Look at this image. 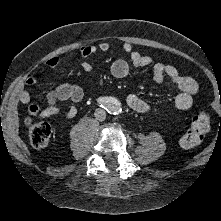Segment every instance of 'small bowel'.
Segmentation results:
<instances>
[{"label": "small bowel", "instance_id": "c3829d8e", "mask_svg": "<svg viewBox=\"0 0 221 221\" xmlns=\"http://www.w3.org/2000/svg\"><path fill=\"white\" fill-rule=\"evenodd\" d=\"M109 48L110 46L107 42H100L97 45H83L79 50V55L83 59L80 63L82 70L85 73L92 72L93 67L87 59L98 51L107 52ZM122 48L128 55L130 63L125 60L115 61L111 66V73L114 77H126L130 72L131 65L135 68L151 65L152 59L135 50L129 42H123ZM61 62V59L58 57L48 59L45 66L37 74L27 79V83L36 84L47 70L59 66ZM153 78L158 84H163L167 79L175 86L178 91L174 100L175 109L186 110L192 106L194 96L198 92V84L193 78L182 75L174 66L165 63H156L154 65ZM82 98V88L70 83H61L49 90L46 94L47 106L43 109L37 104L32 103L31 96L26 90H23L19 96L20 101L28 106L29 113L33 116H39L40 118H50L58 115L61 112L58 103L70 101L71 104L65 111V117L67 119H73L77 115L76 104L79 103ZM125 101L132 110L138 113H149L152 109L149 103L135 93H129Z\"/></svg>", "mask_w": 221, "mask_h": 221}]
</instances>
